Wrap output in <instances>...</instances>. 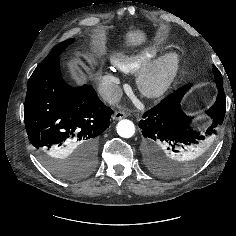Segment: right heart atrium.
<instances>
[{"mask_svg":"<svg viewBox=\"0 0 236 236\" xmlns=\"http://www.w3.org/2000/svg\"><path fill=\"white\" fill-rule=\"evenodd\" d=\"M101 96L107 102H114L119 95V80L112 71H101L97 75Z\"/></svg>","mask_w":236,"mask_h":236,"instance_id":"right-heart-atrium-1","label":"right heart atrium"}]
</instances>
